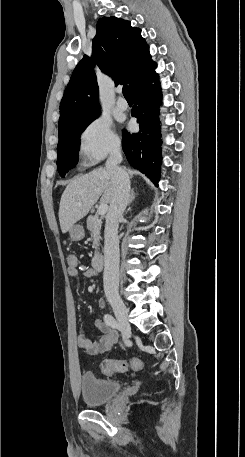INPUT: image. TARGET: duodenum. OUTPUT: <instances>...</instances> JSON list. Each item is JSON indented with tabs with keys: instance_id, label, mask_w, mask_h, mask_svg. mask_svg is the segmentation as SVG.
Here are the masks:
<instances>
[{
	"instance_id": "410a0bca",
	"label": "duodenum",
	"mask_w": 245,
	"mask_h": 457,
	"mask_svg": "<svg viewBox=\"0 0 245 457\" xmlns=\"http://www.w3.org/2000/svg\"><path fill=\"white\" fill-rule=\"evenodd\" d=\"M93 268L97 271L101 270L104 266V255L101 253L96 254L92 260Z\"/></svg>"
}]
</instances>
